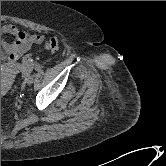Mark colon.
Returning a JSON list of instances; mask_svg holds the SVG:
<instances>
[{"label":"colon","instance_id":"obj_1","mask_svg":"<svg viewBox=\"0 0 166 166\" xmlns=\"http://www.w3.org/2000/svg\"><path fill=\"white\" fill-rule=\"evenodd\" d=\"M59 39L57 37H50L44 41L43 50L54 52L59 48ZM34 61L33 55H26L21 62L22 74H26L29 71L30 66Z\"/></svg>","mask_w":166,"mask_h":166}]
</instances>
